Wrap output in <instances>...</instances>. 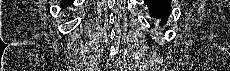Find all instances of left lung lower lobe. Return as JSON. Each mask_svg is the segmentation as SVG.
<instances>
[{"label": "left lung lower lobe", "instance_id": "obj_1", "mask_svg": "<svg viewBox=\"0 0 230 71\" xmlns=\"http://www.w3.org/2000/svg\"><path fill=\"white\" fill-rule=\"evenodd\" d=\"M145 3L151 17L161 18V24L167 22V15L171 12V0H145Z\"/></svg>", "mask_w": 230, "mask_h": 71}]
</instances>
